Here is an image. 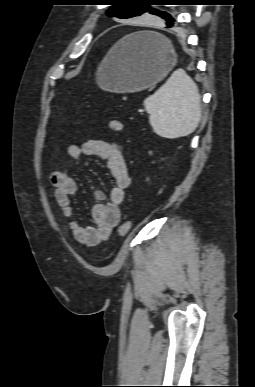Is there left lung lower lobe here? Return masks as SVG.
<instances>
[{
    "label": "left lung lower lobe",
    "mask_w": 255,
    "mask_h": 387,
    "mask_svg": "<svg viewBox=\"0 0 255 387\" xmlns=\"http://www.w3.org/2000/svg\"><path fill=\"white\" fill-rule=\"evenodd\" d=\"M173 22H174V20L172 19L170 22H168V26H172L173 25Z\"/></svg>",
    "instance_id": "1"
}]
</instances>
